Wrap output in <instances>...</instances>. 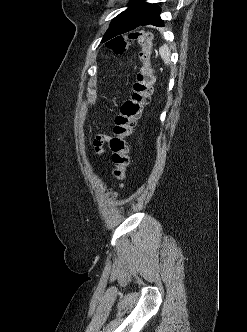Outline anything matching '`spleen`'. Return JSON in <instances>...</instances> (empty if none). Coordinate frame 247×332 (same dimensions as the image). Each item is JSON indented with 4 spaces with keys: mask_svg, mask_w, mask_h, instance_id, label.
Returning a JSON list of instances; mask_svg holds the SVG:
<instances>
[{
    "mask_svg": "<svg viewBox=\"0 0 247 332\" xmlns=\"http://www.w3.org/2000/svg\"><path fill=\"white\" fill-rule=\"evenodd\" d=\"M159 53H160V56L163 59L164 63L166 65H169L170 64V50H169V47L167 45H163L162 47H160Z\"/></svg>",
    "mask_w": 247,
    "mask_h": 332,
    "instance_id": "1",
    "label": "spleen"
}]
</instances>
